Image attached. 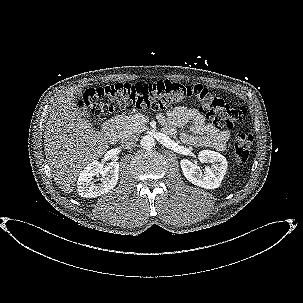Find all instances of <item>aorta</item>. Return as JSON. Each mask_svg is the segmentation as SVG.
<instances>
[{
  "instance_id": "obj_1",
  "label": "aorta",
  "mask_w": 303,
  "mask_h": 303,
  "mask_svg": "<svg viewBox=\"0 0 303 303\" xmlns=\"http://www.w3.org/2000/svg\"><path fill=\"white\" fill-rule=\"evenodd\" d=\"M140 144L144 149L149 150L155 147V140L152 136L145 135L142 137Z\"/></svg>"
}]
</instances>
